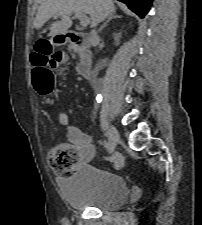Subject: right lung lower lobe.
<instances>
[{"instance_id": "98d812e1", "label": "right lung lower lobe", "mask_w": 202, "mask_h": 225, "mask_svg": "<svg viewBox=\"0 0 202 225\" xmlns=\"http://www.w3.org/2000/svg\"><path fill=\"white\" fill-rule=\"evenodd\" d=\"M128 5L137 15L143 18L150 9L153 0H119Z\"/></svg>"}]
</instances>
